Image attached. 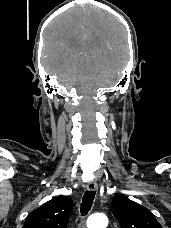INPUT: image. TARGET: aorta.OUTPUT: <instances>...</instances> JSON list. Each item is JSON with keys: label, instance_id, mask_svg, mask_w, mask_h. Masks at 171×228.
<instances>
[{"label": "aorta", "instance_id": "aorta-1", "mask_svg": "<svg viewBox=\"0 0 171 228\" xmlns=\"http://www.w3.org/2000/svg\"><path fill=\"white\" fill-rule=\"evenodd\" d=\"M108 219L104 214H93L87 220L88 228H106Z\"/></svg>", "mask_w": 171, "mask_h": 228}]
</instances>
